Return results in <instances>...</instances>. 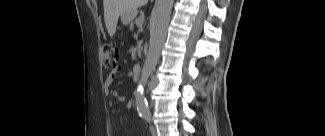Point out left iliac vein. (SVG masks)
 I'll use <instances>...</instances> for the list:
<instances>
[{"label": "left iliac vein", "mask_w": 325, "mask_h": 136, "mask_svg": "<svg viewBox=\"0 0 325 136\" xmlns=\"http://www.w3.org/2000/svg\"><path fill=\"white\" fill-rule=\"evenodd\" d=\"M150 131H151V134H152L153 136H156V128H155V126L151 125V127H150Z\"/></svg>", "instance_id": "4c4485c4"}]
</instances>
